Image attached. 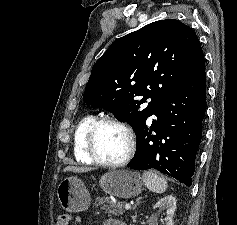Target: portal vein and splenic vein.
Returning <instances> with one entry per match:
<instances>
[{
  "mask_svg": "<svg viewBox=\"0 0 237 225\" xmlns=\"http://www.w3.org/2000/svg\"><path fill=\"white\" fill-rule=\"evenodd\" d=\"M130 208H131L130 204H126V205H125V209H126V210H130Z\"/></svg>",
  "mask_w": 237,
  "mask_h": 225,
  "instance_id": "portal-vein-and-splenic-vein-1",
  "label": "portal vein and splenic vein"
}]
</instances>
